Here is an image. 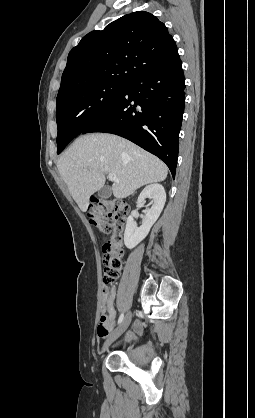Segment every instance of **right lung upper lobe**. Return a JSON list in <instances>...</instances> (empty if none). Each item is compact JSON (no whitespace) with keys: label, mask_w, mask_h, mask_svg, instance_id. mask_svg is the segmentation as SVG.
<instances>
[{"label":"right lung upper lobe","mask_w":255,"mask_h":418,"mask_svg":"<svg viewBox=\"0 0 255 418\" xmlns=\"http://www.w3.org/2000/svg\"><path fill=\"white\" fill-rule=\"evenodd\" d=\"M177 59L166 26L151 13L134 12L81 39L69 52L58 94L98 82L128 84Z\"/></svg>","instance_id":"cb5924a9"}]
</instances>
